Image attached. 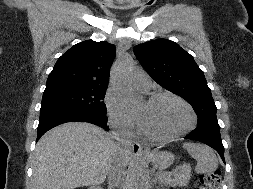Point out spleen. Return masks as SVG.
<instances>
[{
  "mask_svg": "<svg viewBox=\"0 0 253 189\" xmlns=\"http://www.w3.org/2000/svg\"><path fill=\"white\" fill-rule=\"evenodd\" d=\"M183 148L197 161L196 173L213 172L218 167V159L214 150L204 144L186 142Z\"/></svg>",
  "mask_w": 253,
  "mask_h": 189,
  "instance_id": "3e777b00",
  "label": "spleen"
}]
</instances>
